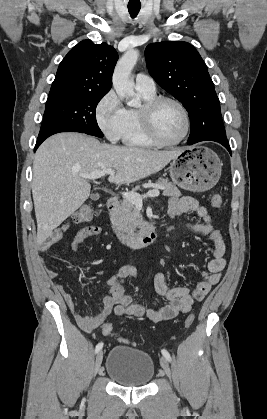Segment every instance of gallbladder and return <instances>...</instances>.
Listing matches in <instances>:
<instances>
[{"label": "gallbladder", "instance_id": "gallbladder-1", "mask_svg": "<svg viewBox=\"0 0 267 419\" xmlns=\"http://www.w3.org/2000/svg\"><path fill=\"white\" fill-rule=\"evenodd\" d=\"M92 197H94V198H99V195H98V194H96V195H93Z\"/></svg>", "mask_w": 267, "mask_h": 419}]
</instances>
